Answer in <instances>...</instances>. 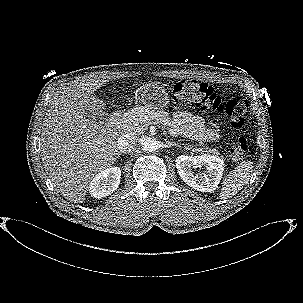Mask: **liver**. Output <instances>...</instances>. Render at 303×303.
I'll use <instances>...</instances> for the list:
<instances>
[{
  "label": "liver",
  "mask_w": 303,
  "mask_h": 303,
  "mask_svg": "<svg viewBox=\"0 0 303 303\" xmlns=\"http://www.w3.org/2000/svg\"><path fill=\"white\" fill-rule=\"evenodd\" d=\"M108 79H84L57 91L44 119L43 166L58 192L70 202H83L91 179L111 167L118 155V132L101 126L88 114H105L94 92Z\"/></svg>",
  "instance_id": "liver-1"
}]
</instances>
